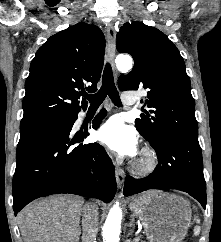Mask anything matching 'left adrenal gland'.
<instances>
[{
	"label": "left adrenal gland",
	"mask_w": 221,
	"mask_h": 242,
	"mask_svg": "<svg viewBox=\"0 0 221 242\" xmlns=\"http://www.w3.org/2000/svg\"><path fill=\"white\" fill-rule=\"evenodd\" d=\"M133 221H134V216H131V221H130V223H129V226H130V227L134 226ZM132 231H133V230L130 231L129 235L132 234ZM127 242H130V241H127Z\"/></svg>",
	"instance_id": "obj_1"
}]
</instances>
